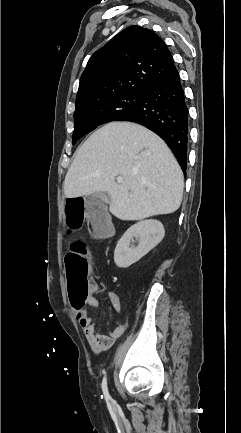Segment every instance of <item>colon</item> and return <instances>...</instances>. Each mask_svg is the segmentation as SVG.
Listing matches in <instances>:
<instances>
[{
  "label": "colon",
  "instance_id": "obj_1",
  "mask_svg": "<svg viewBox=\"0 0 241 433\" xmlns=\"http://www.w3.org/2000/svg\"><path fill=\"white\" fill-rule=\"evenodd\" d=\"M66 229H81L85 215L89 214V226L97 237H103L109 230V205H103L102 200H84V198H68L65 193ZM66 272L67 286L71 297L72 310L83 312L84 304L92 297V284L89 276L90 260L84 244L77 243L62 259Z\"/></svg>",
  "mask_w": 241,
  "mask_h": 433
}]
</instances>
